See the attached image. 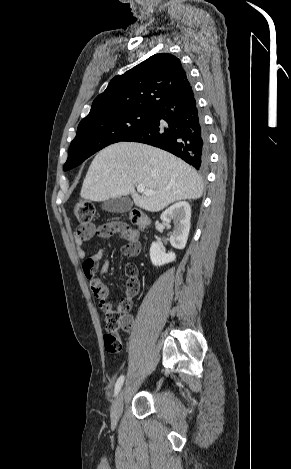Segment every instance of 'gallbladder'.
Masks as SVG:
<instances>
[{
    "label": "gallbladder",
    "instance_id": "1",
    "mask_svg": "<svg viewBox=\"0 0 291 469\" xmlns=\"http://www.w3.org/2000/svg\"><path fill=\"white\" fill-rule=\"evenodd\" d=\"M133 203L128 197L110 198L102 204V209L112 213H124L131 209Z\"/></svg>",
    "mask_w": 291,
    "mask_h": 469
}]
</instances>
